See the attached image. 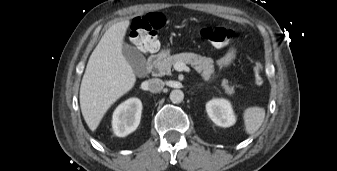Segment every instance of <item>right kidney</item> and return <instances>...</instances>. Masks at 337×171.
Segmentation results:
<instances>
[{
  "mask_svg": "<svg viewBox=\"0 0 337 171\" xmlns=\"http://www.w3.org/2000/svg\"><path fill=\"white\" fill-rule=\"evenodd\" d=\"M142 103L138 98H130L114 111L112 128L115 135L125 137L135 131L140 123Z\"/></svg>",
  "mask_w": 337,
  "mask_h": 171,
  "instance_id": "obj_1",
  "label": "right kidney"
}]
</instances>
